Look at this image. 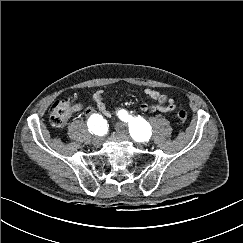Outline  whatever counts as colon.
<instances>
[{"label":"colon","instance_id":"colon-1","mask_svg":"<svg viewBox=\"0 0 243 243\" xmlns=\"http://www.w3.org/2000/svg\"><path fill=\"white\" fill-rule=\"evenodd\" d=\"M73 109L74 99L72 97H64L54 102L50 108V121L52 125L57 128L65 127ZM176 116L180 124H184L187 120V113L184 110H179Z\"/></svg>","mask_w":243,"mask_h":243}]
</instances>
